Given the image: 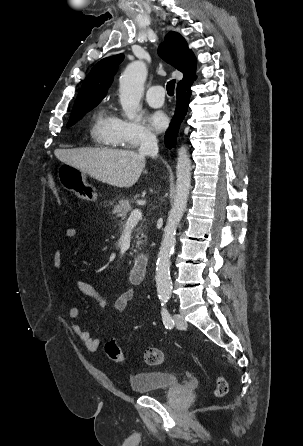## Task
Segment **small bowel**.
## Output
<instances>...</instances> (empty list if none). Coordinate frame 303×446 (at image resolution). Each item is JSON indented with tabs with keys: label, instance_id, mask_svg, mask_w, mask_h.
I'll use <instances>...</instances> for the list:
<instances>
[{
	"label": "small bowel",
	"instance_id": "obj_1",
	"mask_svg": "<svg viewBox=\"0 0 303 446\" xmlns=\"http://www.w3.org/2000/svg\"><path fill=\"white\" fill-rule=\"evenodd\" d=\"M78 235L76 228L70 227L66 229L65 236L68 239H74ZM53 266L57 271H61L63 266L62 254L60 250H56L53 255ZM77 290L92 299H94L100 306V313L102 314L106 309V298L105 296L92 284L87 281L79 280L76 282ZM134 290L128 289L122 292L114 302V308L116 311L122 312L126 309L130 301L134 297ZM80 316L79 309L75 306L69 308V317L71 319L77 320ZM73 332L78 336V338L84 343L87 350L94 352L99 348V340L93 337L89 331L84 329L79 323H74L72 325Z\"/></svg>",
	"mask_w": 303,
	"mask_h": 446
}]
</instances>
